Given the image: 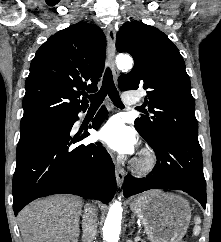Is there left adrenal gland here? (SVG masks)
Wrapping results in <instances>:
<instances>
[{
    "instance_id": "1",
    "label": "left adrenal gland",
    "mask_w": 221,
    "mask_h": 242,
    "mask_svg": "<svg viewBox=\"0 0 221 242\" xmlns=\"http://www.w3.org/2000/svg\"><path fill=\"white\" fill-rule=\"evenodd\" d=\"M131 218H132V219H131V221H130V225H132V224L134 223V222H133V221H134V216H132ZM128 242H131V241H128Z\"/></svg>"
}]
</instances>
